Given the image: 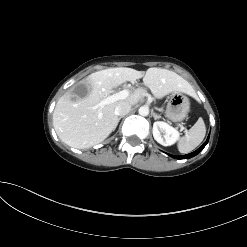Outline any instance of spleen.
I'll return each mask as SVG.
<instances>
[{"instance_id":"3e777b00","label":"spleen","mask_w":247,"mask_h":247,"mask_svg":"<svg viewBox=\"0 0 247 247\" xmlns=\"http://www.w3.org/2000/svg\"><path fill=\"white\" fill-rule=\"evenodd\" d=\"M205 134V123L200 117L197 122L189 129L188 133L179 139V152L186 154L194 150L203 141Z\"/></svg>"}]
</instances>
